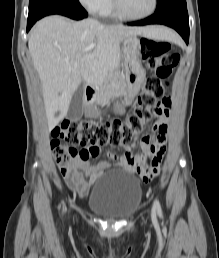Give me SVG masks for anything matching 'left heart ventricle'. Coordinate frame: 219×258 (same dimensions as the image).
Segmentation results:
<instances>
[{"label": "left heart ventricle", "mask_w": 219, "mask_h": 258, "mask_svg": "<svg viewBox=\"0 0 219 258\" xmlns=\"http://www.w3.org/2000/svg\"><path fill=\"white\" fill-rule=\"evenodd\" d=\"M124 11L129 15H142L150 11L153 0H120Z\"/></svg>", "instance_id": "b2bd125f"}]
</instances>
